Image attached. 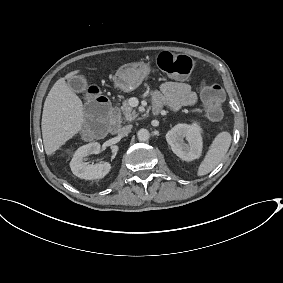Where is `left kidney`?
I'll use <instances>...</instances> for the list:
<instances>
[{"mask_svg":"<svg viewBox=\"0 0 283 283\" xmlns=\"http://www.w3.org/2000/svg\"><path fill=\"white\" fill-rule=\"evenodd\" d=\"M199 131L200 128L197 124L192 126L178 124L168 131L166 140L178 157L185 161H191L201 154L202 139ZM184 139L186 142H184Z\"/></svg>","mask_w":283,"mask_h":283,"instance_id":"1","label":"left kidney"}]
</instances>
